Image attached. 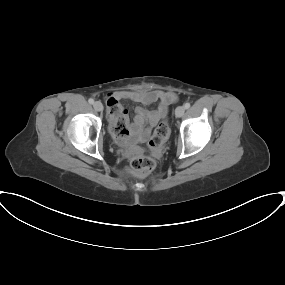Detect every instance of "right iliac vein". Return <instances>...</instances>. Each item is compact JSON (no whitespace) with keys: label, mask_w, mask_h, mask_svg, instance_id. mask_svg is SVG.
<instances>
[{"label":"right iliac vein","mask_w":285,"mask_h":285,"mask_svg":"<svg viewBox=\"0 0 285 285\" xmlns=\"http://www.w3.org/2000/svg\"><path fill=\"white\" fill-rule=\"evenodd\" d=\"M93 107L96 111H102L103 110V105L100 101H96L94 104H93Z\"/></svg>","instance_id":"63e3f726"}]
</instances>
